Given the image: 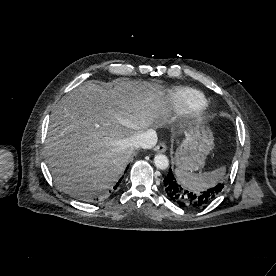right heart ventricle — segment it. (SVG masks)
Returning <instances> with one entry per match:
<instances>
[{
    "label": "right heart ventricle",
    "mask_w": 276,
    "mask_h": 276,
    "mask_svg": "<svg viewBox=\"0 0 276 276\" xmlns=\"http://www.w3.org/2000/svg\"><path fill=\"white\" fill-rule=\"evenodd\" d=\"M171 99L175 110L181 114H188L206 103L205 96L191 88L177 89Z\"/></svg>",
    "instance_id": "obj_1"
}]
</instances>
